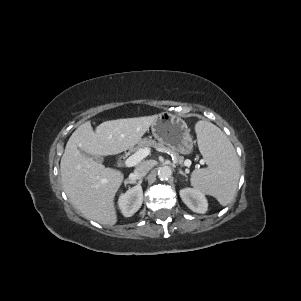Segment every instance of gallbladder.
Wrapping results in <instances>:
<instances>
[{
  "label": "gallbladder",
  "instance_id": "obj_1",
  "mask_svg": "<svg viewBox=\"0 0 301 301\" xmlns=\"http://www.w3.org/2000/svg\"><path fill=\"white\" fill-rule=\"evenodd\" d=\"M80 152H81V154H83L84 156H87V157L92 156V155H89L88 153H86V152H84V151H80ZM92 158L95 159V160L98 161V162H102V158L99 157V156H92Z\"/></svg>",
  "mask_w": 301,
  "mask_h": 301
}]
</instances>
